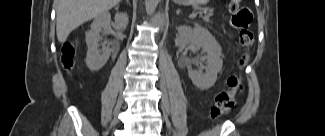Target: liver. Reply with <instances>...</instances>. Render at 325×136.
Wrapping results in <instances>:
<instances>
[{"instance_id":"obj_1","label":"liver","mask_w":325,"mask_h":136,"mask_svg":"<svg viewBox=\"0 0 325 136\" xmlns=\"http://www.w3.org/2000/svg\"><path fill=\"white\" fill-rule=\"evenodd\" d=\"M119 2L120 0H54L58 41H66L75 28L108 11Z\"/></svg>"}]
</instances>
